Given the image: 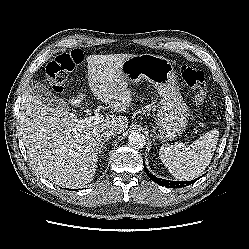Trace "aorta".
<instances>
[{
  "label": "aorta",
  "mask_w": 249,
  "mask_h": 249,
  "mask_svg": "<svg viewBox=\"0 0 249 249\" xmlns=\"http://www.w3.org/2000/svg\"><path fill=\"white\" fill-rule=\"evenodd\" d=\"M128 143L134 149H141L146 144V138L139 132H133L128 137Z\"/></svg>",
  "instance_id": "1"
}]
</instances>
